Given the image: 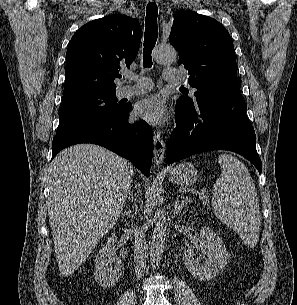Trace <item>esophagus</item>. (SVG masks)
I'll use <instances>...</instances> for the list:
<instances>
[{"instance_id":"34e87169","label":"esophagus","mask_w":297,"mask_h":305,"mask_svg":"<svg viewBox=\"0 0 297 305\" xmlns=\"http://www.w3.org/2000/svg\"><path fill=\"white\" fill-rule=\"evenodd\" d=\"M154 2H159V0H150ZM165 155V142L162 138V135L160 132L154 133V150H153V156H154V162L156 166H160L164 160Z\"/></svg>"}]
</instances>
